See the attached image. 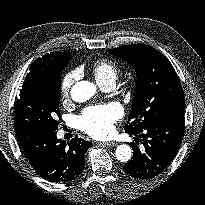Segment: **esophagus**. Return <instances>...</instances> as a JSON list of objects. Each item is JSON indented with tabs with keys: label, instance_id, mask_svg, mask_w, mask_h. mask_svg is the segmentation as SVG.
<instances>
[{
	"label": "esophagus",
	"instance_id": "34e87169",
	"mask_svg": "<svg viewBox=\"0 0 205 205\" xmlns=\"http://www.w3.org/2000/svg\"><path fill=\"white\" fill-rule=\"evenodd\" d=\"M101 145L103 146H107V147H114L116 146L118 143L117 142H114V141H109V142H103V143H100Z\"/></svg>",
	"mask_w": 205,
	"mask_h": 205
}]
</instances>
